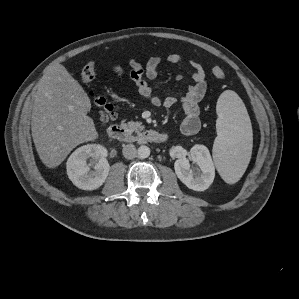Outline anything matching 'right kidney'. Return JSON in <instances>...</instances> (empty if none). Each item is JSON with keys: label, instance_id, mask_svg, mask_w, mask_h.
I'll use <instances>...</instances> for the list:
<instances>
[{"label": "right kidney", "instance_id": "right-kidney-1", "mask_svg": "<svg viewBox=\"0 0 299 299\" xmlns=\"http://www.w3.org/2000/svg\"><path fill=\"white\" fill-rule=\"evenodd\" d=\"M107 154V149L99 144H87L77 148L66 163L69 179L82 190L99 188L105 182L110 170ZM89 158H92V162L88 164ZM91 167L94 170H91Z\"/></svg>", "mask_w": 299, "mask_h": 299}]
</instances>
